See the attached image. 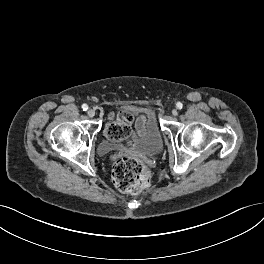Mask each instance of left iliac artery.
<instances>
[{
	"label": "left iliac artery",
	"mask_w": 264,
	"mask_h": 264,
	"mask_svg": "<svg viewBox=\"0 0 264 264\" xmlns=\"http://www.w3.org/2000/svg\"><path fill=\"white\" fill-rule=\"evenodd\" d=\"M176 107H177L178 109H182L183 104H182L181 102H178V103L176 104Z\"/></svg>",
	"instance_id": "1"
}]
</instances>
